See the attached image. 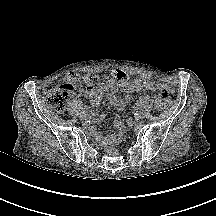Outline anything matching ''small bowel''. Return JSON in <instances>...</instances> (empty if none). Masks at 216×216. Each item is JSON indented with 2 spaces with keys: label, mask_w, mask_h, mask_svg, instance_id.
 Segmentation results:
<instances>
[{
  "label": "small bowel",
  "mask_w": 216,
  "mask_h": 216,
  "mask_svg": "<svg viewBox=\"0 0 216 216\" xmlns=\"http://www.w3.org/2000/svg\"><path fill=\"white\" fill-rule=\"evenodd\" d=\"M90 82L84 95L89 99L92 106H98L105 96L107 100L118 110H124L126 104L131 100V94L141 90L156 92L158 84H156L150 75L141 74L133 79H130L123 70H113L110 75L103 77L101 81H97L93 75L87 76ZM124 92L125 97H117L114 93ZM155 103L157 108H161L162 99L159 93H155ZM97 119V115H93ZM117 132L108 134L103 137L107 143H117L124 133V126L121 120H116Z\"/></svg>",
  "instance_id": "small-bowel-1"
}]
</instances>
